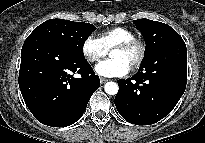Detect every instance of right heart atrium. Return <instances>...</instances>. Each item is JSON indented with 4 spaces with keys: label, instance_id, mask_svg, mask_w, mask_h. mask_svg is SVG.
Returning <instances> with one entry per match:
<instances>
[{
    "label": "right heart atrium",
    "instance_id": "1",
    "mask_svg": "<svg viewBox=\"0 0 205 143\" xmlns=\"http://www.w3.org/2000/svg\"><path fill=\"white\" fill-rule=\"evenodd\" d=\"M82 53L87 61L95 63L106 56L108 51L98 38L90 35L82 43Z\"/></svg>",
    "mask_w": 205,
    "mask_h": 143
}]
</instances>
